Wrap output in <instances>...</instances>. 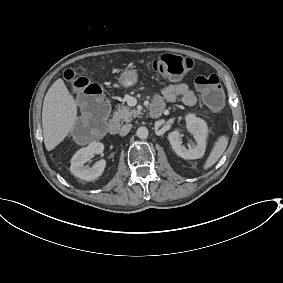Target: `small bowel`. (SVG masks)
Wrapping results in <instances>:
<instances>
[{"mask_svg": "<svg viewBox=\"0 0 283 283\" xmlns=\"http://www.w3.org/2000/svg\"><path fill=\"white\" fill-rule=\"evenodd\" d=\"M181 100L187 106L197 103L195 92L185 83L169 84L162 89L161 95L154 97V104L164 106L165 101L175 102Z\"/></svg>", "mask_w": 283, "mask_h": 283, "instance_id": "c3829d8e", "label": "small bowel"}]
</instances>
